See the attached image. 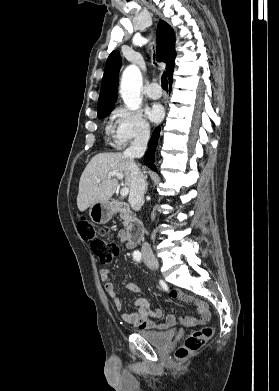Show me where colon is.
<instances>
[{"label": "colon", "instance_id": "1", "mask_svg": "<svg viewBox=\"0 0 279 391\" xmlns=\"http://www.w3.org/2000/svg\"><path fill=\"white\" fill-rule=\"evenodd\" d=\"M78 231L84 240H87L93 253L102 263H109L118 255L119 247L115 242L105 239L103 230H97L88 221L82 220L78 224ZM213 335L211 326H204L187 336L184 343L177 349L179 359L187 358L199 350Z\"/></svg>", "mask_w": 279, "mask_h": 391}]
</instances>
